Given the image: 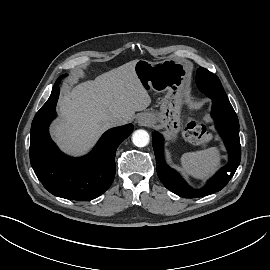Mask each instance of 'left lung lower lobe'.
<instances>
[{
  "instance_id": "obj_1",
  "label": "left lung lower lobe",
  "mask_w": 270,
  "mask_h": 270,
  "mask_svg": "<svg viewBox=\"0 0 270 270\" xmlns=\"http://www.w3.org/2000/svg\"><path fill=\"white\" fill-rule=\"evenodd\" d=\"M212 101L211 115L215 120L216 128L224 140L229 154V162L207 182L205 187L199 190L189 187L174 169L168 167L163 158V138L159 133H153L152 135L158 177L167 189L181 197L197 198L220 191L232 178L241 160L237 115L229 101L214 99Z\"/></svg>"
}]
</instances>
